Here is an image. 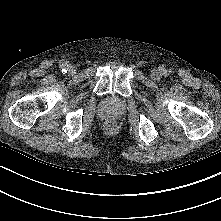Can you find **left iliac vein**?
I'll return each instance as SVG.
<instances>
[{"label": "left iliac vein", "instance_id": "left-iliac-vein-1", "mask_svg": "<svg viewBox=\"0 0 221 221\" xmlns=\"http://www.w3.org/2000/svg\"><path fill=\"white\" fill-rule=\"evenodd\" d=\"M150 76L153 80H159L161 78V72L158 69H154L151 71Z\"/></svg>", "mask_w": 221, "mask_h": 221}]
</instances>
